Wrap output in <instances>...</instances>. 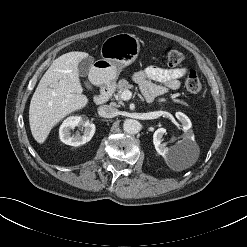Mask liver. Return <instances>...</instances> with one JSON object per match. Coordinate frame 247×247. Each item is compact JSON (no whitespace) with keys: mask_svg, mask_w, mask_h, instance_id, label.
Returning <instances> with one entry per match:
<instances>
[{"mask_svg":"<svg viewBox=\"0 0 247 247\" xmlns=\"http://www.w3.org/2000/svg\"><path fill=\"white\" fill-rule=\"evenodd\" d=\"M86 57V52L63 54L41 78L29 107L30 129L38 143H44L51 129L64 117L88 104L78 73V64Z\"/></svg>","mask_w":247,"mask_h":247,"instance_id":"obj_1","label":"liver"}]
</instances>
